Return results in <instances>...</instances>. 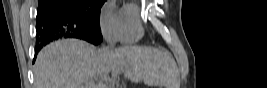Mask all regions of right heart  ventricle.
Masks as SVG:
<instances>
[{"instance_id": "1", "label": "right heart ventricle", "mask_w": 267, "mask_h": 88, "mask_svg": "<svg viewBox=\"0 0 267 88\" xmlns=\"http://www.w3.org/2000/svg\"><path fill=\"white\" fill-rule=\"evenodd\" d=\"M121 14V40L123 43L138 41L143 34L139 20V9L135 4H127L120 10Z\"/></svg>"}]
</instances>
